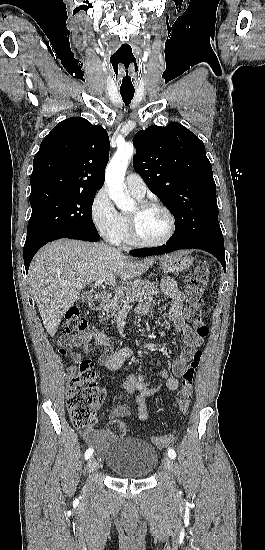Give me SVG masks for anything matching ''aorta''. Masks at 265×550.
Instances as JSON below:
<instances>
[{
	"instance_id": "obj_1",
	"label": "aorta",
	"mask_w": 265,
	"mask_h": 550,
	"mask_svg": "<svg viewBox=\"0 0 265 550\" xmlns=\"http://www.w3.org/2000/svg\"><path fill=\"white\" fill-rule=\"evenodd\" d=\"M134 151L135 149L132 144L118 146L105 172L108 195L121 210L130 209L134 205V200L124 191L125 172Z\"/></svg>"
}]
</instances>
